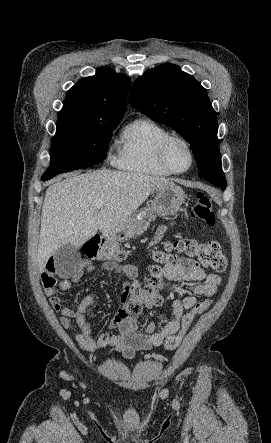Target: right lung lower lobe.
<instances>
[{
    "label": "right lung lower lobe",
    "mask_w": 271,
    "mask_h": 443,
    "mask_svg": "<svg viewBox=\"0 0 271 443\" xmlns=\"http://www.w3.org/2000/svg\"><path fill=\"white\" fill-rule=\"evenodd\" d=\"M60 173H63V172H59V173H56V174H50V175H44V174H43V176H42V180H44V181L49 180V179H51L52 177H54L55 175L60 174Z\"/></svg>",
    "instance_id": "98d812e1"
}]
</instances>
